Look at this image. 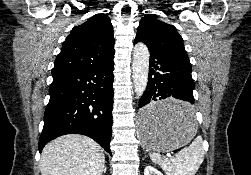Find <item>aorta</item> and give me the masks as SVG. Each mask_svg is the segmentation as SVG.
Listing matches in <instances>:
<instances>
[{
	"label": "aorta",
	"mask_w": 251,
	"mask_h": 175,
	"mask_svg": "<svg viewBox=\"0 0 251 175\" xmlns=\"http://www.w3.org/2000/svg\"><path fill=\"white\" fill-rule=\"evenodd\" d=\"M149 50L145 44H136L133 52V84L137 97L143 95L149 72Z\"/></svg>",
	"instance_id": "obj_1"
}]
</instances>
